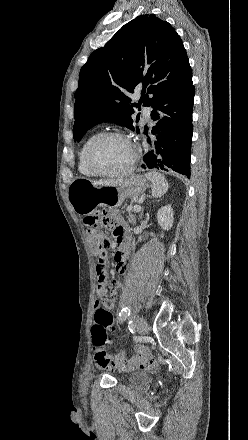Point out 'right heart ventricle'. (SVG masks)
<instances>
[{
	"instance_id": "e07e8e85",
	"label": "right heart ventricle",
	"mask_w": 248,
	"mask_h": 440,
	"mask_svg": "<svg viewBox=\"0 0 248 440\" xmlns=\"http://www.w3.org/2000/svg\"><path fill=\"white\" fill-rule=\"evenodd\" d=\"M98 134H100V133L95 132V133L90 134L83 142V144L79 150V153H78V170L81 174L88 176V177H93L94 174L90 171V169L88 168V166L86 164V151H87L88 146L92 142V140Z\"/></svg>"
}]
</instances>
